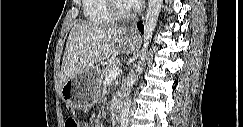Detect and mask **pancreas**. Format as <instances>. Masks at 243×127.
Listing matches in <instances>:
<instances>
[{
  "instance_id": "cf45deb5",
  "label": "pancreas",
  "mask_w": 243,
  "mask_h": 127,
  "mask_svg": "<svg viewBox=\"0 0 243 127\" xmlns=\"http://www.w3.org/2000/svg\"><path fill=\"white\" fill-rule=\"evenodd\" d=\"M119 61L118 60H112L107 64V66L104 68V76L105 78L108 77L109 73L113 70L118 68Z\"/></svg>"
}]
</instances>
